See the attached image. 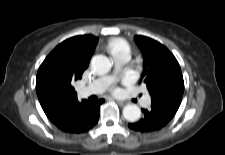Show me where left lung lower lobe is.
<instances>
[{"label":"left lung lower lobe","instance_id":"obj_1","mask_svg":"<svg viewBox=\"0 0 225 155\" xmlns=\"http://www.w3.org/2000/svg\"><path fill=\"white\" fill-rule=\"evenodd\" d=\"M142 112L144 113L143 118L128 124L130 129L140 132L160 130L171 121L177 110L162 104H152L149 109H142Z\"/></svg>","mask_w":225,"mask_h":155}]
</instances>
